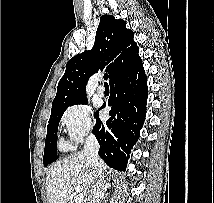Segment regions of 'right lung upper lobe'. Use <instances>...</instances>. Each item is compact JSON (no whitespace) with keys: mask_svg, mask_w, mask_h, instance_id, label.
Here are the masks:
<instances>
[{"mask_svg":"<svg viewBox=\"0 0 214 203\" xmlns=\"http://www.w3.org/2000/svg\"><path fill=\"white\" fill-rule=\"evenodd\" d=\"M125 25L124 20L111 15L100 17L93 48L68 61L58 83L51 112L85 99L87 81L99 69L106 70L111 83L142 62L138 55L139 48L133 40L134 33Z\"/></svg>","mask_w":214,"mask_h":203,"instance_id":"obj_1","label":"right lung upper lobe"}]
</instances>
